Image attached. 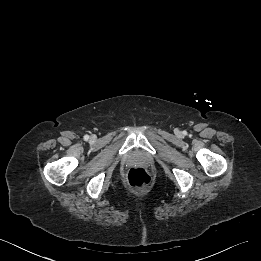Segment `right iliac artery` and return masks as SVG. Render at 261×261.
Wrapping results in <instances>:
<instances>
[{
	"label": "right iliac artery",
	"mask_w": 261,
	"mask_h": 261,
	"mask_svg": "<svg viewBox=\"0 0 261 261\" xmlns=\"http://www.w3.org/2000/svg\"><path fill=\"white\" fill-rule=\"evenodd\" d=\"M89 139V136L88 135H85L84 136V140H88Z\"/></svg>",
	"instance_id": "obj_1"
}]
</instances>
